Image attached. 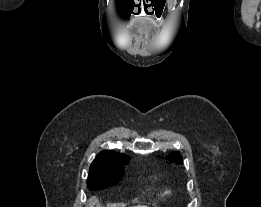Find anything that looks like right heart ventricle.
<instances>
[{
	"instance_id": "e07e8e85",
	"label": "right heart ventricle",
	"mask_w": 261,
	"mask_h": 207,
	"mask_svg": "<svg viewBox=\"0 0 261 207\" xmlns=\"http://www.w3.org/2000/svg\"><path fill=\"white\" fill-rule=\"evenodd\" d=\"M168 193H170V190L167 189L163 192V194H168Z\"/></svg>"
}]
</instances>
